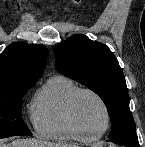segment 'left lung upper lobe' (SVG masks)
Returning <instances> with one entry per match:
<instances>
[{
    "instance_id": "1",
    "label": "left lung upper lobe",
    "mask_w": 145,
    "mask_h": 147,
    "mask_svg": "<svg viewBox=\"0 0 145 147\" xmlns=\"http://www.w3.org/2000/svg\"><path fill=\"white\" fill-rule=\"evenodd\" d=\"M57 70L103 100L112 122L109 141L139 147L123 71L110 49L78 34L54 48Z\"/></svg>"
}]
</instances>
